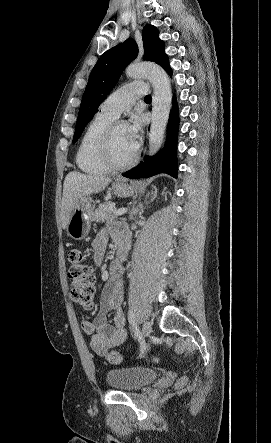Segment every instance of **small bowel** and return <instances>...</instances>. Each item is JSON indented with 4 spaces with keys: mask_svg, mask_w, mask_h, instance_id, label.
Instances as JSON below:
<instances>
[{
    "mask_svg": "<svg viewBox=\"0 0 271 443\" xmlns=\"http://www.w3.org/2000/svg\"><path fill=\"white\" fill-rule=\"evenodd\" d=\"M107 245L105 234H99L93 241V259L95 264H101ZM122 266L120 261H115L110 267V281L105 286L100 308L93 321L82 320L81 328L89 335L91 348L104 354L110 348L121 345L127 336L126 321L123 313V289L120 283ZM113 313V322H108V314Z\"/></svg>",
    "mask_w": 271,
    "mask_h": 443,
    "instance_id": "obj_1",
    "label": "small bowel"
}]
</instances>
